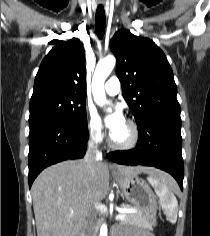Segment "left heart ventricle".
<instances>
[{
    "label": "left heart ventricle",
    "instance_id": "left-heart-ventricle-1",
    "mask_svg": "<svg viewBox=\"0 0 210 236\" xmlns=\"http://www.w3.org/2000/svg\"><path fill=\"white\" fill-rule=\"evenodd\" d=\"M131 136V129L126 121L114 132H112V138L115 142L124 143L129 140Z\"/></svg>",
    "mask_w": 210,
    "mask_h": 236
}]
</instances>
